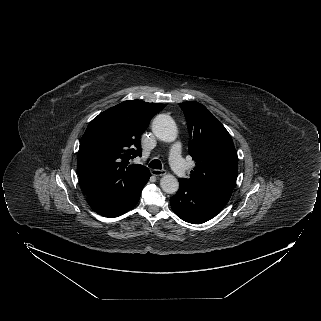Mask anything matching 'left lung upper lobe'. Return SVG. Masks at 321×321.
<instances>
[{
  "label": "left lung upper lobe",
  "instance_id": "obj_1",
  "mask_svg": "<svg viewBox=\"0 0 321 321\" xmlns=\"http://www.w3.org/2000/svg\"><path fill=\"white\" fill-rule=\"evenodd\" d=\"M189 134V154L196 162L190 178L181 179L194 186L233 191L238 156L230 134L202 104L187 101L180 104Z\"/></svg>",
  "mask_w": 321,
  "mask_h": 321
}]
</instances>
